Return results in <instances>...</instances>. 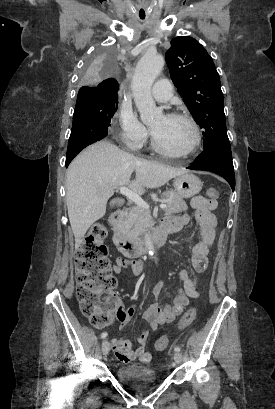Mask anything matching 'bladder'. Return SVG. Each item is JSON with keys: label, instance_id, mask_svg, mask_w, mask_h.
<instances>
[{"label": "bladder", "instance_id": "1", "mask_svg": "<svg viewBox=\"0 0 275 409\" xmlns=\"http://www.w3.org/2000/svg\"><path fill=\"white\" fill-rule=\"evenodd\" d=\"M118 382H123L130 388H146L160 382V376L153 367L140 362H129L115 369Z\"/></svg>", "mask_w": 275, "mask_h": 409}]
</instances>
